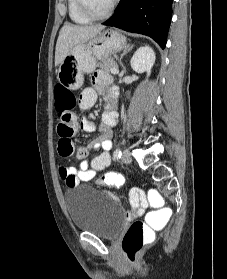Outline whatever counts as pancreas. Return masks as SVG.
Wrapping results in <instances>:
<instances>
[{"instance_id": "cf45deb5", "label": "pancreas", "mask_w": 227, "mask_h": 279, "mask_svg": "<svg viewBox=\"0 0 227 279\" xmlns=\"http://www.w3.org/2000/svg\"><path fill=\"white\" fill-rule=\"evenodd\" d=\"M98 67L101 70H104V71H106L108 73H112L111 69L112 68H118V65H117V63L113 59H106V60H103L102 62H100L98 64Z\"/></svg>"}]
</instances>
